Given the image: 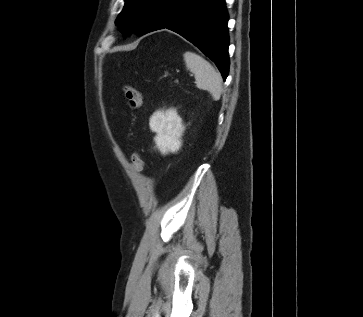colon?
Here are the masks:
<instances>
[{
  "mask_svg": "<svg viewBox=\"0 0 363 317\" xmlns=\"http://www.w3.org/2000/svg\"><path fill=\"white\" fill-rule=\"evenodd\" d=\"M124 94L127 104L131 109H138L141 106L142 94L136 87L126 84L124 86ZM131 164L136 171H142L144 161L141 154L135 152L131 157Z\"/></svg>",
  "mask_w": 363,
  "mask_h": 317,
  "instance_id": "1",
  "label": "colon"
}]
</instances>
